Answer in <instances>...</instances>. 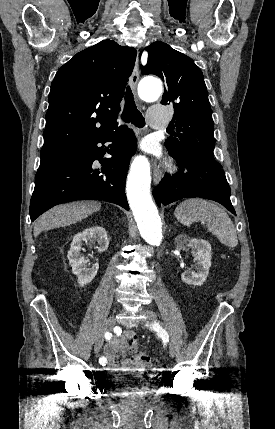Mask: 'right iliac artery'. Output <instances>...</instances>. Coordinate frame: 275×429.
<instances>
[{
    "instance_id": "1",
    "label": "right iliac artery",
    "mask_w": 275,
    "mask_h": 429,
    "mask_svg": "<svg viewBox=\"0 0 275 429\" xmlns=\"http://www.w3.org/2000/svg\"><path fill=\"white\" fill-rule=\"evenodd\" d=\"M104 337H105V339L107 340V341H109L110 339H111V337H112V334L110 333V332H106L105 333V335H104ZM99 363L102 365V366H104V365H106V363H107V359L104 357V356H101L100 358H99Z\"/></svg>"
}]
</instances>
